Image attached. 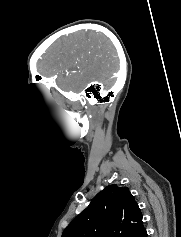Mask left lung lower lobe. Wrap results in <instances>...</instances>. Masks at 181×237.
<instances>
[{
	"label": "left lung lower lobe",
	"instance_id": "obj_1",
	"mask_svg": "<svg viewBox=\"0 0 181 237\" xmlns=\"http://www.w3.org/2000/svg\"><path fill=\"white\" fill-rule=\"evenodd\" d=\"M138 237H147V232L146 230H144L143 232H141Z\"/></svg>",
	"mask_w": 181,
	"mask_h": 237
}]
</instances>
